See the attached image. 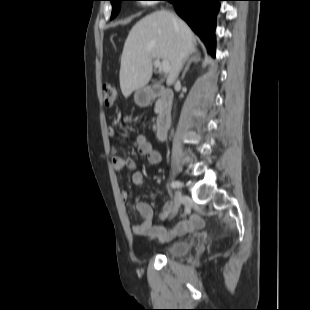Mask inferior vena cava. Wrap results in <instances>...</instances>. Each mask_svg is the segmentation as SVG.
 <instances>
[{"label":"inferior vena cava","mask_w":310,"mask_h":310,"mask_svg":"<svg viewBox=\"0 0 310 310\" xmlns=\"http://www.w3.org/2000/svg\"><path fill=\"white\" fill-rule=\"evenodd\" d=\"M174 22L177 23V18L174 16Z\"/></svg>","instance_id":"1"}]
</instances>
